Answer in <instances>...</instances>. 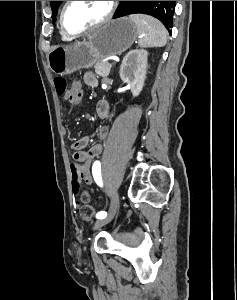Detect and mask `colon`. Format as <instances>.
Segmentation results:
<instances>
[{"label": "colon", "mask_w": 237, "mask_h": 300, "mask_svg": "<svg viewBox=\"0 0 237 300\" xmlns=\"http://www.w3.org/2000/svg\"><path fill=\"white\" fill-rule=\"evenodd\" d=\"M54 85L56 93L64 97L68 103L72 106H77L82 99V89L77 90L74 93H70L68 90V83L62 77H57L54 79ZM80 176L77 172L72 174V187L75 193L79 191L80 188ZM76 205L80 209V214L84 219H90L93 216L94 210L93 207L89 204V195L84 192L79 200H77Z\"/></svg>", "instance_id": "colon-1"}]
</instances>
